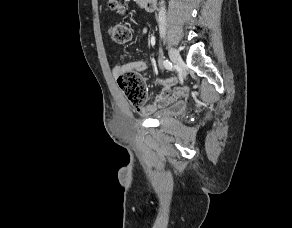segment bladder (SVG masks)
<instances>
[{"mask_svg":"<svg viewBox=\"0 0 292 228\" xmlns=\"http://www.w3.org/2000/svg\"><path fill=\"white\" fill-rule=\"evenodd\" d=\"M186 111V105L183 102H179L173 105L169 110L159 114L156 119L164 120L167 118H176L183 115Z\"/></svg>","mask_w":292,"mask_h":228,"instance_id":"31cf9c89","label":"bladder"}]
</instances>
